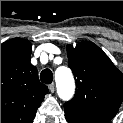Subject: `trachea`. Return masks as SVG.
I'll list each match as a JSON object with an SVG mask.
<instances>
[{
    "mask_svg": "<svg viewBox=\"0 0 123 123\" xmlns=\"http://www.w3.org/2000/svg\"><path fill=\"white\" fill-rule=\"evenodd\" d=\"M40 79L43 83L50 84L52 82V79H53L52 71L50 69H44L40 73Z\"/></svg>",
    "mask_w": 123,
    "mask_h": 123,
    "instance_id": "trachea-1",
    "label": "trachea"
}]
</instances>
